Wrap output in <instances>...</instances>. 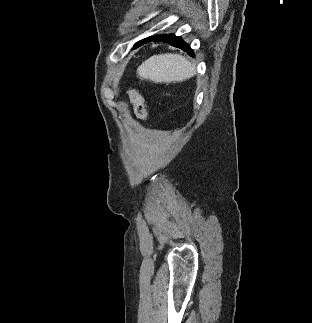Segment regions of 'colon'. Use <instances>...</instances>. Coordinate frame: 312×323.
Returning <instances> with one entry per match:
<instances>
[{
  "mask_svg": "<svg viewBox=\"0 0 312 323\" xmlns=\"http://www.w3.org/2000/svg\"><path fill=\"white\" fill-rule=\"evenodd\" d=\"M129 98L134 105L136 117L140 121L145 122L147 120V108L143 96L137 89L130 88Z\"/></svg>",
  "mask_w": 312,
  "mask_h": 323,
  "instance_id": "1",
  "label": "colon"
}]
</instances>
